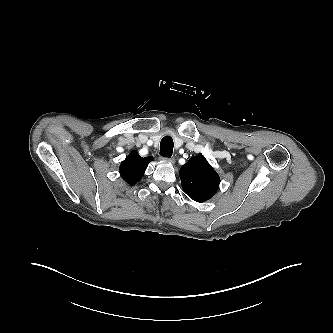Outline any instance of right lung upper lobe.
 Here are the masks:
<instances>
[{
    "label": "right lung upper lobe",
    "mask_w": 333,
    "mask_h": 333,
    "mask_svg": "<svg viewBox=\"0 0 333 333\" xmlns=\"http://www.w3.org/2000/svg\"><path fill=\"white\" fill-rule=\"evenodd\" d=\"M152 160L151 157L142 158L137 152L131 151L120 165L122 178L130 185L136 184L141 180L146 167Z\"/></svg>",
    "instance_id": "obj_1"
}]
</instances>
